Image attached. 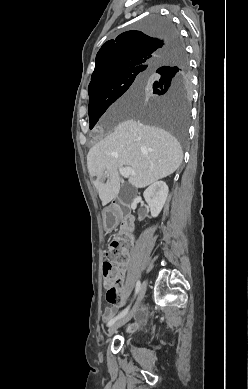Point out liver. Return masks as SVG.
<instances>
[{
  "label": "liver",
  "mask_w": 248,
  "mask_h": 389,
  "mask_svg": "<svg viewBox=\"0 0 248 389\" xmlns=\"http://www.w3.org/2000/svg\"><path fill=\"white\" fill-rule=\"evenodd\" d=\"M135 94L136 88L131 87L120 104L136 102ZM182 159L180 144L170 133L127 119L89 150L87 168L90 177H96L93 184L105 206L119 194L118 168L131 167L135 175L129 176L128 182L135 188H145L174 173Z\"/></svg>",
  "instance_id": "liver-1"
}]
</instances>
